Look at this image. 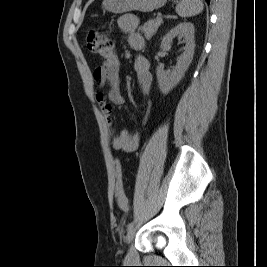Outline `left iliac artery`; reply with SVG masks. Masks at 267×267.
<instances>
[{
	"mask_svg": "<svg viewBox=\"0 0 267 267\" xmlns=\"http://www.w3.org/2000/svg\"><path fill=\"white\" fill-rule=\"evenodd\" d=\"M134 221L130 222L127 226V229L130 230L134 226Z\"/></svg>",
	"mask_w": 267,
	"mask_h": 267,
	"instance_id": "obj_1",
	"label": "left iliac artery"
}]
</instances>
